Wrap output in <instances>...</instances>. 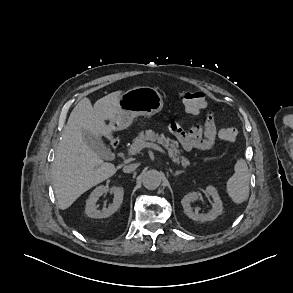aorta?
Here are the masks:
<instances>
[{"instance_id": "1", "label": "aorta", "mask_w": 293, "mask_h": 293, "mask_svg": "<svg viewBox=\"0 0 293 293\" xmlns=\"http://www.w3.org/2000/svg\"><path fill=\"white\" fill-rule=\"evenodd\" d=\"M162 181V175L155 169H150L142 173V183L147 189H156Z\"/></svg>"}]
</instances>
